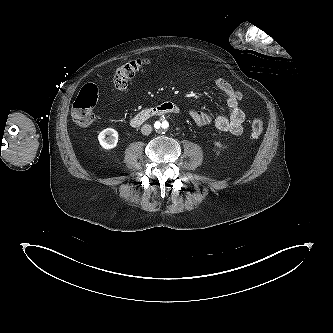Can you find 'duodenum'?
Returning a JSON list of instances; mask_svg holds the SVG:
<instances>
[{"label": "duodenum", "instance_id": "410a0bca", "mask_svg": "<svg viewBox=\"0 0 333 333\" xmlns=\"http://www.w3.org/2000/svg\"><path fill=\"white\" fill-rule=\"evenodd\" d=\"M178 112H179V107L175 103L164 102L155 107L146 108V109L140 111L139 113H137L136 115H134L131 119V125L133 127H139L144 122H146L147 120H149L153 117H157V116H161V115H165V114H176Z\"/></svg>", "mask_w": 333, "mask_h": 333}]
</instances>
